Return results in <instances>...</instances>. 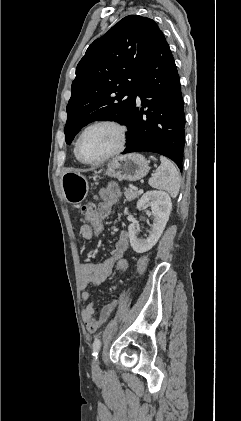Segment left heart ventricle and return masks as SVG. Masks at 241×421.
Wrapping results in <instances>:
<instances>
[{
	"label": "left heart ventricle",
	"mask_w": 241,
	"mask_h": 421,
	"mask_svg": "<svg viewBox=\"0 0 241 421\" xmlns=\"http://www.w3.org/2000/svg\"><path fill=\"white\" fill-rule=\"evenodd\" d=\"M118 143V133L110 126H97L88 130L80 143V153L85 160H97L111 152Z\"/></svg>",
	"instance_id": "left-heart-ventricle-1"
}]
</instances>
